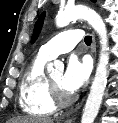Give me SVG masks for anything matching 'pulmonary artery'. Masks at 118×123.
Returning <instances> with one entry per match:
<instances>
[{"label":"pulmonary artery","mask_w":118,"mask_h":123,"mask_svg":"<svg viewBox=\"0 0 118 123\" xmlns=\"http://www.w3.org/2000/svg\"><path fill=\"white\" fill-rule=\"evenodd\" d=\"M82 38L83 31L80 29L63 31L44 44L40 48L39 54L47 59H53L60 54L71 51Z\"/></svg>","instance_id":"pulmonary-artery-1"}]
</instances>
